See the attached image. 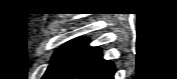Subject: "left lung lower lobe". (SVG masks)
<instances>
[{"instance_id": "obj_1", "label": "left lung lower lobe", "mask_w": 177, "mask_h": 79, "mask_svg": "<svg viewBox=\"0 0 177 79\" xmlns=\"http://www.w3.org/2000/svg\"><path fill=\"white\" fill-rule=\"evenodd\" d=\"M88 39H81L66 55L48 79H113L114 65L102 59L97 47H89Z\"/></svg>"}]
</instances>
